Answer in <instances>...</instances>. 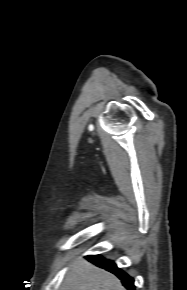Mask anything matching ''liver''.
<instances>
[{"mask_svg":"<svg viewBox=\"0 0 187 290\" xmlns=\"http://www.w3.org/2000/svg\"><path fill=\"white\" fill-rule=\"evenodd\" d=\"M60 290H126L111 273L86 260L72 265Z\"/></svg>","mask_w":187,"mask_h":290,"instance_id":"1","label":"liver"}]
</instances>
